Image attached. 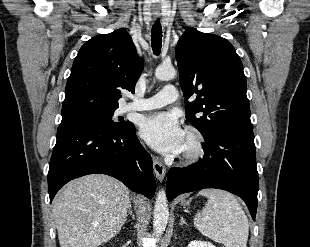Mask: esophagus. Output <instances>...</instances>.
<instances>
[{
	"mask_svg": "<svg viewBox=\"0 0 310 247\" xmlns=\"http://www.w3.org/2000/svg\"><path fill=\"white\" fill-rule=\"evenodd\" d=\"M159 16L158 13H154V17L157 18ZM153 168L155 175L159 181H162L165 177L166 174V168L164 164L158 159V158H153Z\"/></svg>",
	"mask_w": 310,
	"mask_h": 247,
	"instance_id": "esophagus-1",
	"label": "esophagus"
}]
</instances>
